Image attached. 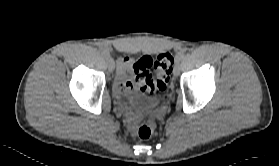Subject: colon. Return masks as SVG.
<instances>
[{
  "instance_id": "colon-1",
  "label": "colon",
  "mask_w": 279,
  "mask_h": 166,
  "mask_svg": "<svg viewBox=\"0 0 279 166\" xmlns=\"http://www.w3.org/2000/svg\"><path fill=\"white\" fill-rule=\"evenodd\" d=\"M174 57L166 52L159 54L155 59L143 56L133 64L134 82L136 87L145 93L158 96L164 91L170 81ZM154 70V75L151 73ZM156 129V122L149 118L138 128L137 134L141 139H148Z\"/></svg>"
}]
</instances>
